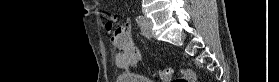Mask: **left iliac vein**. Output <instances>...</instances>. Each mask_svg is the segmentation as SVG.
<instances>
[{"mask_svg":"<svg viewBox=\"0 0 279 82\" xmlns=\"http://www.w3.org/2000/svg\"><path fill=\"white\" fill-rule=\"evenodd\" d=\"M142 29L145 34L149 37H153L154 33L152 31V21L148 18H145L141 23Z\"/></svg>","mask_w":279,"mask_h":82,"instance_id":"4c4485c4","label":"left iliac vein"}]
</instances>
